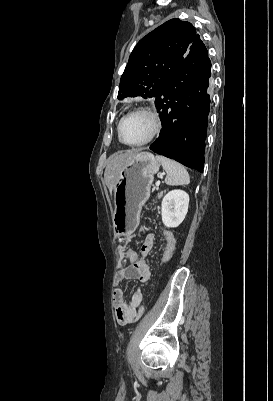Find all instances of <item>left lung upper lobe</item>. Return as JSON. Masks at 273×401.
<instances>
[{"instance_id": "left-lung-upper-lobe-1", "label": "left lung upper lobe", "mask_w": 273, "mask_h": 401, "mask_svg": "<svg viewBox=\"0 0 273 401\" xmlns=\"http://www.w3.org/2000/svg\"><path fill=\"white\" fill-rule=\"evenodd\" d=\"M198 37L191 23L179 19H171L143 37L121 76L118 99L155 98Z\"/></svg>"}]
</instances>
